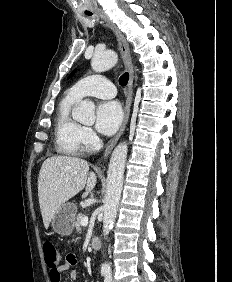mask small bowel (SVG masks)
<instances>
[{"label":"small bowel","instance_id":"obj_1","mask_svg":"<svg viewBox=\"0 0 232 282\" xmlns=\"http://www.w3.org/2000/svg\"><path fill=\"white\" fill-rule=\"evenodd\" d=\"M76 264H77V257L74 254L69 253L66 256L65 261L62 264L58 265L55 271H50L49 274L50 282H62L61 275L64 271H69L70 281H76L78 278V273L74 269Z\"/></svg>","mask_w":232,"mask_h":282}]
</instances>
